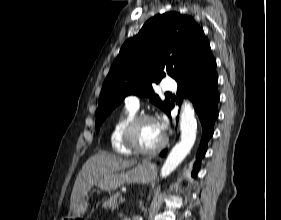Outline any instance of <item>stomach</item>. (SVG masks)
<instances>
[{
    "label": "stomach",
    "mask_w": 281,
    "mask_h": 220,
    "mask_svg": "<svg viewBox=\"0 0 281 220\" xmlns=\"http://www.w3.org/2000/svg\"><path fill=\"white\" fill-rule=\"evenodd\" d=\"M155 174L151 163H141L121 172H111L103 175L95 185L104 191H112L125 183H148ZM89 206L88 197L83 198L66 217L67 220H81Z\"/></svg>",
    "instance_id": "0dacf381"
}]
</instances>
